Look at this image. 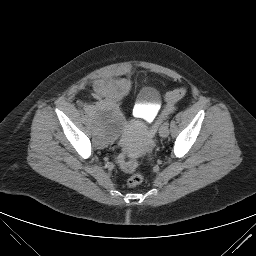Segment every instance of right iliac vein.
<instances>
[{"mask_svg":"<svg viewBox=\"0 0 256 256\" xmlns=\"http://www.w3.org/2000/svg\"><path fill=\"white\" fill-rule=\"evenodd\" d=\"M88 119H89L90 121H93V120L95 119V116H94L92 113H89V114H88Z\"/></svg>","mask_w":256,"mask_h":256,"instance_id":"right-iliac-vein-1","label":"right iliac vein"}]
</instances>
